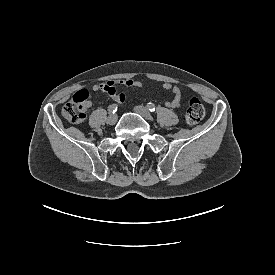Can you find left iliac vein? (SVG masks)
<instances>
[{
	"label": "left iliac vein",
	"mask_w": 275,
	"mask_h": 275,
	"mask_svg": "<svg viewBox=\"0 0 275 275\" xmlns=\"http://www.w3.org/2000/svg\"><path fill=\"white\" fill-rule=\"evenodd\" d=\"M135 112H137L139 115H141L142 117H144L147 120H152V115L151 113L148 111L147 108L143 107V106H136L134 108Z\"/></svg>",
	"instance_id": "left-iliac-vein-1"
}]
</instances>
